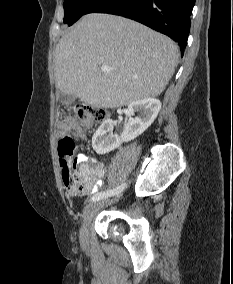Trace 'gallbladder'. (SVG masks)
<instances>
[{"mask_svg":"<svg viewBox=\"0 0 233 284\" xmlns=\"http://www.w3.org/2000/svg\"><path fill=\"white\" fill-rule=\"evenodd\" d=\"M75 100H76V97L73 95H64V94L60 95V101L67 105L74 103Z\"/></svg>","mask_w":233,"mask_h":284,"instance_id":"obj_1","label":"gallbladder"}]
</instances>
